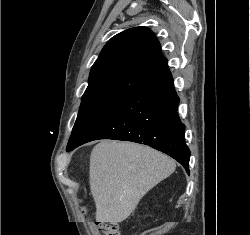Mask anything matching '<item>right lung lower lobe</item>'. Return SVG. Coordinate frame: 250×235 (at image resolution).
<instances>
[{
	"instance_id": "1",
	"label": "right lung lower lobe",
	"mask_w": 250,
	"mask_h": 235,
	"mask_svg": "<svg viewBox=\"0 0 250 235\" xmlns=\"http://www.w3.org/2000/svg\"><path fill=\"white\" fill-rule=\"evenodd\" d=\"M170 70L134 93L112 114L91 128L67 151L97 139L132 141L151 146L176 159L189 173L190 150L180 121Z\"/></svg>"
}]
</instances>
